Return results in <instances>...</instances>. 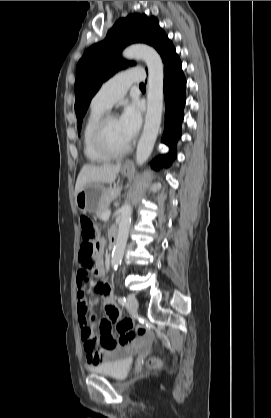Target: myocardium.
<instances>
[{
	"instance_id": "1",
	"label": "myocardium",
	"mask_w": 271,
	"mask_h": 418,
	"mask_svg": "<svg viewBox=\"0 0 271 418\" xmlns=\"http://www.w3.org/2000/svg\"><path fill=\"white\" fill-rule=\"evenodd\" d=\"M117 118L114 113H105L97 122L93 131V143L95 148L108 157H120L127 154L131 149V143L128 142L123 148L115 149L107 141L106 132L109 122Z\"/></svg>"
}]
</instances>
